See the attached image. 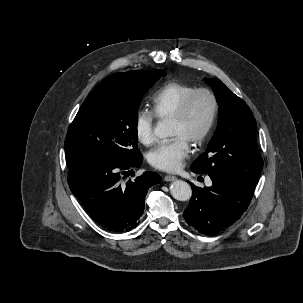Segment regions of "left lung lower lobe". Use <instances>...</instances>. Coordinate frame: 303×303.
Wrapping results in <instances>:
<instances>
[{
    "label": "left lung lower lobe",
    "instance_id": "left-lung-lower-lobe-1",
    "mask_svg": "<svg viewBox=\"0 0 303 303\" xmlns=\"http://www.w3.org/2000/svg\"><path fill=\"white\" fill-rule=\"evenodd\" d=\"M212 186L200 188L191 184L192 197L184 211L186 222L199 232L211 235L225 229L244 213L253 188L221 173H209Z\"/></svg>",
    "mask_w": 303,
    "mask_h": 303
}]
</instances>
